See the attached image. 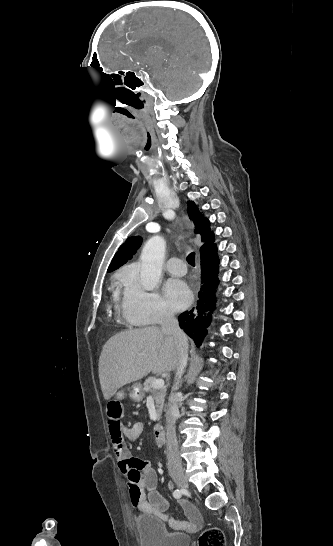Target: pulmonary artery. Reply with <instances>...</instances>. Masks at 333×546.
<instances>
[{
    "label": "pulmonary artery",
    "instance_id": "pulmonary-artery-1",
    "mask_svg": "<svg viewBox=\"0 0 333 546\" xmlns=\"http://www.w3.org/2000/svg\"><path fill=\"white\" fill-rule=\"evenodd\" d=\"M165 269L169 273L178 276L184 275L187 271L186 265L184 264L183 260L176 257H172L167 260V262L165 263Z\"/></svg>",
    "mask_w": 333,
    "mask_h": 546
}]
</instances>
